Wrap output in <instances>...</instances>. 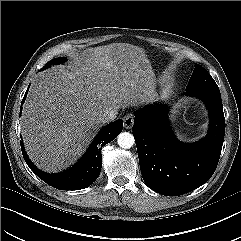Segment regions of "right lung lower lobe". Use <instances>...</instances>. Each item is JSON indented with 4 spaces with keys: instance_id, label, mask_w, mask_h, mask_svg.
Wrapping results in <instances>:
<instances>
[{
    "instance_id": "98d812e1",
    "label": "right lung lower lobe",
    "mask_w": 241,
    "mask_h": 241,
    "mask_svg": "<svg viewBox=\"0 0 241 241\" xmlns=\"http://www.w3.org/2000/svg\"><path fill=\"white\" fill-rule=\"evenodd\" d=\"M27 91L23 97L22 103L26 98ZM122 128L123 121L121 119L105 126L93 140L86 153L77 162V164H75L72 168L58 174H48L39 170L28 158L22 141H20L21 150L24 160L26 161L29 168L40 179H42L50 186L60 190L83 189L91 185L98 178L102 168L101 149L103 146L113 141L122 131Z\"/></svg>"
}]
</instances>
